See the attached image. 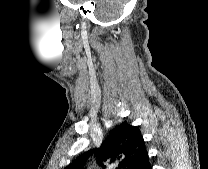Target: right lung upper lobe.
<instances>
[{
	"label": "right lung upper lobe",
	"mask_w": 208,
	"mask_h": 169,
	"mask_svg": "<svg viewBox=\"0 0 208 169\" xmlns=\"http://www.w3.org/2000/svg\"><path fill=\"white\" fill-rule=\"evenodd\" d=\"M94 154L96 162L103 169L105 162L119 161L117 169H139L148 159L140 130L127 122L114 128L103 141L100 148L84 152L65 169H84L87 159Z\"/></svg>",
	"instance_id": "cb5924a9"
}]
</instances>
